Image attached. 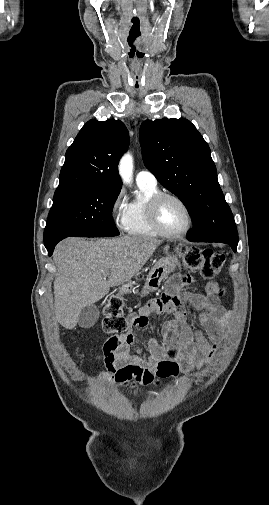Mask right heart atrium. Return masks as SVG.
Returning a JSON list of instances; mask_svg holds the SVG:
<instances>
[{
	"instance_id": "1",
	"label": "right heart atrium",
	"mask_w": 269,
	"mask_h": 505,
	"mask_svg": "<svg viewBox=\"0 0 269 505\" xmlns=\"http://www.w3.org/2000/svg\"><path fill=\"white\" fill-rule=\"evenodd\" d=\"M127 203L122 190H119L113 197L110 204V216L113 224L118 229H124L126 223Z\"/></svg>"
}]
</instances>
